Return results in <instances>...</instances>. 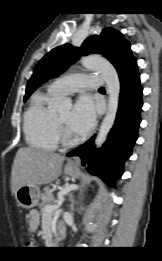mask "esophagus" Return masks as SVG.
Masks as SVG:
<instances>
[{
  "mask_svg": "<svg viewBox=\"0 0 162 261\" xmlns=\"http://www.w3.org/2000/svg\"><path fill=\"white\" fill-rule=\"evenodd\" d=\"M80 159L78 156H74L72 160L69 162V166L76 167L79 165Z\"/></svg>",
  "mask_w": 162,
  "mask_h": 261,
  "instance_id": "esophagus-1",
  "label": "esophagus"
}]
</instances>
